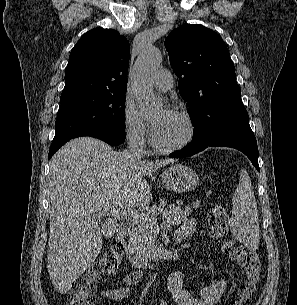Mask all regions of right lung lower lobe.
<instances>
[{
    "instance_id": "98d812e1",
    "label": "right lung lower lobe",
    "mask_w": 297,
    "mask_h": 305,
    "mask_svg": "<svg viewBox=\"0 0 297 305\" xmlns=\"http://www.w3.org/2000/svg\"><path fill=\"white\" fill-rule=\"evenodd\" d=\"M79 136H91L98 139L105 141L110 145H119L124 142L126 138V134L124 131H110V130H92L84 132L76 137ZM75 138V137H74ZM65 144V143H64ZM63 145V144H62ZM61 145V146H62ZM51 147L49 151L48 158L50 159L53 154L61 147Z\"/></svg>"
}]
</instances>
